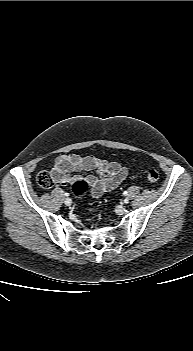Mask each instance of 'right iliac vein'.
<instances>
[{"label": "right iliac vein", "mask_w": 193, "mask_h": 351, "mask_svg": "<svg viewBox=\"0 0 193 351\" xmlns=\"http://www.w3.org/2000/svg\"><path fill=\"white\" fill-rule=\"evenodd\" d=\"M65 205L70 206L72 204V200L70 198H66L64 200Z\"/></svg>", "instance_id": "right-iliac-vein-1"}]
</instances>
